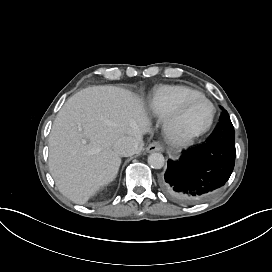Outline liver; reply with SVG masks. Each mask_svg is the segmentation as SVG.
Segmentation results:
<instances>
[{"mask_svg": "<svg viewBox=\"0 0 272 272\" xmlns=\"http://www.w3.org/2000/svg\"><path fill=\"white\" fill-rule=\"evenodd\" d=\"M141 103L112 86L85 88L63 105L49 136V168L60 192L85 204L112 183L122 163L114 144L146 132Z\"/></svg>", "mask_w": 272, "mask_h": 272, "instance_id": "obj_1", "label": "liver"}]
</instances>
